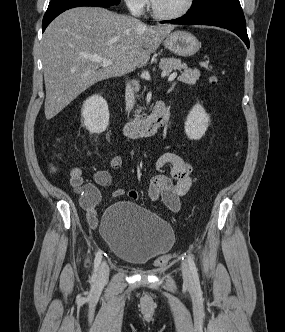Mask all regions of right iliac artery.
<instances>
[{
  "mask_svg": "<svg viewBox=\"0 0 285 332\" xmlns=\"http://www.w3.org/2000/svg\"><path fill=\"white\" fill-rule=\"evenodd\" d=\"M101 259H102V252L99 251V252H97L95 259H94L93 278H96V276H97V271H98L99 265L101 263Z\"/></svg>",
  "mask_w": 285,
  "mask_h": 332,
  "instance_id": "obj_1",
  "label": "right iliac artery"
}]
</instances>
